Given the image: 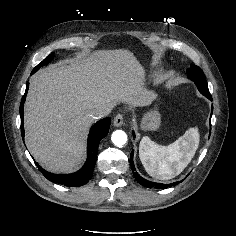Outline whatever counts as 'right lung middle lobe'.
Here are the masks:
<instances>
[{
  "label": "right lung middle lobe",
  "mask_w": 236,
  "mask_h": 236,
  "mask_svg": "<svg viewBox=\"0 0 236 236\" xmlns=\"http://www.w3.org/2000/svg\"><path fill=\"white\" fill-rule=\"evenodd\" d=\"M54 54L51 53L49 56H47L41 63H39L32 71V73H35L41 66L47 65L51 62L53 59Z\"/></svg>",
  "instance_id": "right-lung-middle-lobe-1"
}]
</instances>
